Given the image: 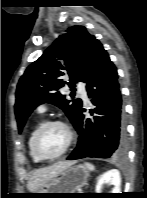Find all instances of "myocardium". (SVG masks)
Here are the masks:
<instances>
[{
	"instance_id": "obj_1",
	"label": "myocardium",
	"mask_w": 147,
	"mask_h": 198,
	"mask_svg": "<svg viewBox=\"0 0 147 198\" xmlns=\"http://www.w3.org/2000/svg\"><path fill=\"white\" fill-rule=\"evenodd\" d=\"M53 125H59L61 127H63L66 131V134H67V140H66V143L63 147V149L55 154V155H52V156H48V155H45L43 154L40 149H39V139H40V136L42 135V133L47 129L49 128L50 126H53ZM73 139H74V134H73V131L70 127V125L63 121V120H60V119H53V120H49V121H46L44 123H42V125L36 130L34 136H33V140H32V148H33V151L35 153V155L42 161H53V160H56L58 158H60L61 156H63L67 151L68 149L70 148L72 142H73Z\"/></svg>"
}]
</instances>
